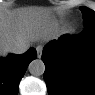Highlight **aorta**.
I'll list each match as a JSON object with an SVG mask.
<instances>
[{"label":"aorta","mask_w":95,"mask_h":95,"mask_svg":"<svg viewBox=\"0 0 95 95\" xmlns=\"http://www.w3.org/2000/svg\"><path fill=\"white\" fill-rule=\"evenodd\" d=\"M28 70L34 76H41L45 72V64L42 60L35 59L29 64Z\"/></svg>","instance_id":"1"}]
</instances>
